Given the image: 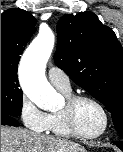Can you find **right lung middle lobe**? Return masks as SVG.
Wrapping results in <instances>:
<instances>
[{
    "mask_svg": "<svg viewBox=\"0 0 123 152\" xmlns=\"http://www.w3.org/2000/svg\"><path fill=\"white\" fill-rule=\"evenodd\" d=\"M22 110V90L16 73L1 72V116L17 117Z\"/></svg>",
    "mask_w": 123,
    "mask_h": 152,
    "instance_id": "1",
    "label": "right lung middle lobe"
}]
</instances>
